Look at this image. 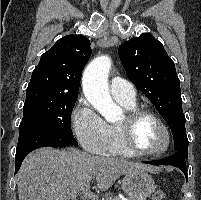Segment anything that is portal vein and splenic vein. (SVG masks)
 <instances>
[{"mask_svg":"<svg viewBox=\"0 0 201 200\" xmlns=\"http://www.w3.org/2000/svg\"><path fill=\"white\" fill-rule=\"evenodd\" d=\"M82 195L85 197H88L90 200H98V197L94 195L92 192H90V185H87L83 191Z\"/></svg>","mask_w":201,"mask_h":200,"instance_id":"18ae733b","label":"portal vein and splenic vein"}]
</instances>
